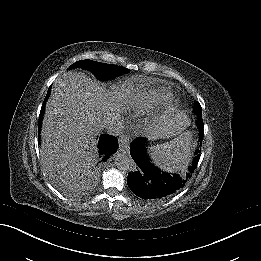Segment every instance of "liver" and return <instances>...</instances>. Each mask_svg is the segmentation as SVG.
I'll return each instance as SVG.
<instances>
[{
	"label": "liver",
	"mask_w": 261,
	"mask_h": 261,
	"mask_svg": "<svg viewBox=\"0 0 261 261\" xmlns=\"http://www.w3.org/2000/svg\"><path fill=\"white\" fill-rule=\"evenodd\" d=\"M133 98L130 90L106 89L82 72L56 81L46 102L41 130V163L48 174L85 170L97 154L93 151L95 138L104 123L120 118Z\"/></svg>",
	"instance_id": "1"
}]
</instances>
